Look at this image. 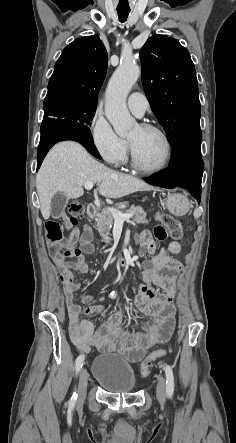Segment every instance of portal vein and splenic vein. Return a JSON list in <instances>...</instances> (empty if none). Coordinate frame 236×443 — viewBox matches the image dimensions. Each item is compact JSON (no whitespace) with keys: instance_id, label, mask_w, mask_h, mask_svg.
<instances>
[{"instance_id":"portal-vein-and-splenic-vein-1","label":"portal vein and splenic vein","mask_w":236,"mask_h":443,"mask_svg":"<svg viewBox=\"0 0 236 443\" xmlns=\"http://www.w3.org/2000/svg\"><path fill=\"white\" fill-rule=\"evenodd\" d=\"M84 187L86 190H91L93 188V182H86L84 184ZM108 212H111L112 216L114 217V220L116 222H124L125 220H128L129 218L133 217V214H123L120 213L118 210L113 208H107Z\"/></svg>"}]
</instances>
